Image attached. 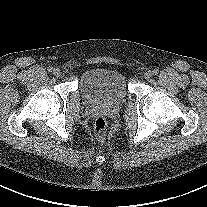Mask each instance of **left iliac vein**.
Instances as JSON below:
<instances>
[{"label":"left iliac vein","instance_id":"1","mask_svg":"<svg viewBox=\"0 0 207 207\" xmlns=\"http://www.w3.org/2000/svg\"><path fill=\"white\" fill-rule=\"evenodd\" d=\"M152 76H153L152 71H147V72L144 74L145 79H150Z\"/></svg>","mask_w":207,"mask_h":207}]
</instances>
